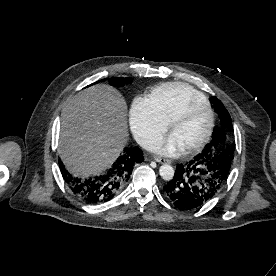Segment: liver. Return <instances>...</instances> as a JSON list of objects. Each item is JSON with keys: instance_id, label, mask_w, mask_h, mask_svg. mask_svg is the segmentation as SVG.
Returning a JSON list of instances; mask_svg holds the SVG:
<instances>
[{"instance_id": "obj_1", "label": "liver", "mask_w": 276, "mask_h": 276, "mask_svg": "<svg viewBox=\"0 0 276 276\" xmlns=\"http://www.w3.org/2000/svg\"><path fill=\"white\" fill-rule=\"evenodd\" d=\"M127 140V105L114 88L92 86L75 95L65 107L59 154L76 176L87 177L109 168Z\"/></svg>"}]
</instances>
